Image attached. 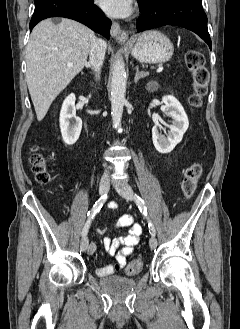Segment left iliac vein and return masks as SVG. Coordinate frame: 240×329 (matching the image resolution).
<instances>
[{
    "label": "left iliac vein",
    "instance_id": "4c4485c4",
    "mask_svg": "<svg viewBox=\"0 0 240 329\" xmlns=\"http://www.w3.org/2000/svg\"><path fill=\"white\" fill-rule=\"evenodd\" d=\"M116 190L119 193V195H121L126 200H130V201L133 200V191L129 185H127V184H122L120 186L118 185V186H116ZM149 246L151 249L156 248L157 239L154 236L150 237Z\"/></svg>",
    "mask_w": 240,
    "mask_h": 329
}]
</instances>
